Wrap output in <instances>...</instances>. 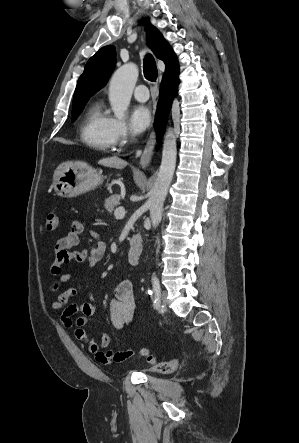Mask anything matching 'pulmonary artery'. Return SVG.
Returning a JSON list of instances; mask_svg holds the SVG:
<instances>
[{"mask_svg":"<svg viewBox=\"0 0 299 443\" xmlns=\"http://www.w3.org/2000/svg\"><path fill=\"white\" fill-rule=\"evenodd\" d=\"M134 97L140 102H146L149 99L148 88L144 84L136 86L134 89Z\"/></svg>","mask_w":299,"mask_h":443,"instance_id":"1","label":"pulmonary artery"}]
</instances>
